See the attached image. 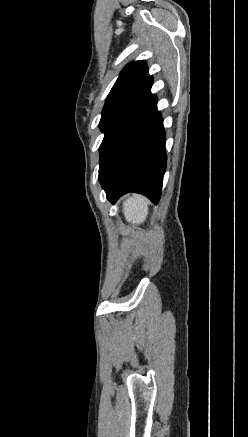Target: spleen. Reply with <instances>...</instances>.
Segmentation results:
<instances>
[{
	"instance_id": "3e777b00",
	"label": "spleen",
	"mask_w": 248,
	"mask_h": 437,
	"mask_svg": "<svg viewBox=\"0 0 248 437\" xmlns=\"http://www.w3.org/2000/svg\"><path fill=\"white\" fill-rule=\"evenodd\" d=\"M123 213L128 222L142 223L148 215V200L140 195L129 197L123 204Z\"/></svg>"
}]
</instances>
